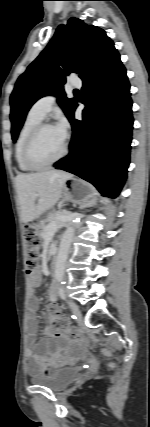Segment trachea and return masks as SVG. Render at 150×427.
<instances>
[{"label":"trachea","mask_w":150,"mask_h":427,"mask_svg":"<svg viewBox=\"0 0 150 427\" xmlns=\"http://www.w3.org/2000/svg\"><path fill=\"white\" fill-rule=\"evenodd\" d=\"M74 92H78V90H74Z\"/></svg>","instance_id":"obj_1"}]
</instances>
